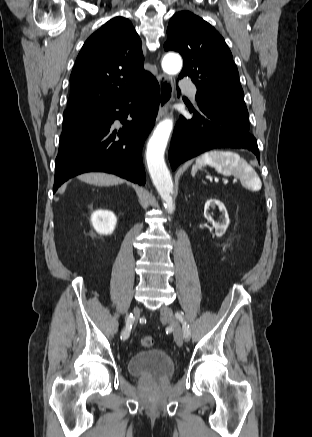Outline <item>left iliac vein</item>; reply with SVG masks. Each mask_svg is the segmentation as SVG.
I'll return each instance as SVG.
<instances>
[{
    "label": "left iliac vein",
    "mask_w": 312,
    "mask_h": 437,
    "mask_svg": "<svg viewBox=\"0 0 312 437\" xmlns=\"http://www.w3.org/2000/svg\"><path fill=\"white\" fill-rule=\"evenodd\" d=\"M160 316L161 319L167 321L173 327V335H174L175 342L178 346H182L184 337L180 325L174 315L173 310L168 306H164L160 309Z\"/></svg>",
    "instance_id": "obj_1"
}]
</instances>
